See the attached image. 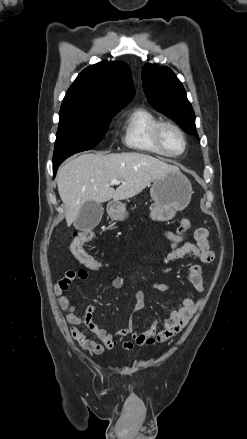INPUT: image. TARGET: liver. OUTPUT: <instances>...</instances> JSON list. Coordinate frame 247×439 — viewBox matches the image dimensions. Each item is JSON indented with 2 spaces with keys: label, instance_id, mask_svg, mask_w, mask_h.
Masks as SVG:
<instances>
[{
  "label": "liver",
  "instance_id": "obj_1",
  "mask_svg": "<svg viewBox=\"0 0 247 439\" xmlns=\"http://www.w3.org/2000/svg\"><path fill=\"white\" fill-rule=\"evenodd\" d=\"M172 171L180 170L142 153L80 155L60 167L57 173V187L66 206L67 225L75 222L85 202L102 203L134 197L151 182ZM112 179L122 181L116 190L110 187Z\"/></svg>",
  "mask_w": 247,
  "mask_h": 439
}]
</instances>
